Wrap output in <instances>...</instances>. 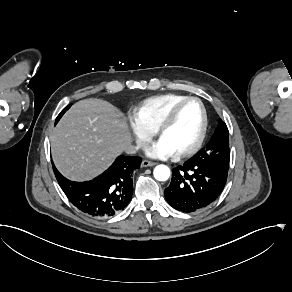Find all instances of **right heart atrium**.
Here are the masks:
<instances>
[{"instance_id":"1","label":"right heart atrium","mask_w":292,"mask_h":292,"mask_svg":"<svg viewBox=\"0 0 292 292\" xmlns=\"http://www.w3.org/2000/svg\"><path fill=\"white\" fill-rule=\"evenodd\" d=\"M128 116H130L131 118H133L137 123L138 125L140 126L141 128V131H142V135H143V142H142V146L147 142L150 134H151V129L143 126L142 124H140L132 114H128Z\"/></svg>"}]
</instances>
